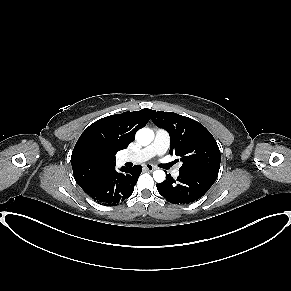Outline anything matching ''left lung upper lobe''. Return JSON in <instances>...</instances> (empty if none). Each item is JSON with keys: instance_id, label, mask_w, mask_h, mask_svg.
I'll return each instance as SVG.
<instances>
[{"instance_id": "5c2ea615", "label": "left lung upper lobe", "mask_w": 291, "mask_h": 291, "mask_svg": "<svg viewBox=\"0 0 291 291\" xmlns=\"http://www.w3.org/2000/svg\"><path fill=\"white\" fill-rule=\"evenodd\" d=\"M153 123L168 131L170 154L180 157L182 172L218 175L220 150L212 134L199 122L173 112H151Z\"/></svg>"}]
</instances>
